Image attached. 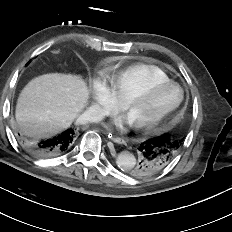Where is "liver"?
I'll use <instances>...</instances> for the list:
<instances>
[{
	"mask_svg": "<svg viewBox=\"0 0 232 232\" xmlns=\"http://www.w3.org/2000/svg\"><path fill=\"white\" fill-rule=\"evenodd\" d=\"M86 83L71 74L50 73L32 79L22 90L16 106L21 132L48 139L70 127L87 105Z\"/></svg>",
	"mask_w": 232,
	"mask_h": 232,
	"instance_id": "1",
	"label": "liver"
}]
</instances>
